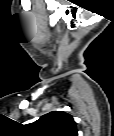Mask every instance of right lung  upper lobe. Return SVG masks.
Wrapping results in <instances>:
<instances>
[{
  "mask_svg": "<svg viewBox=\"0 0 114 136\" xmlns=\"http://www.w3.org/2000/svg\"><path fill=\"white\" fill-rule=\"evenodd\" d=\"M28 129L34 136H77L78 132L72 115L62 111L41 116Z\"/></svg>",
  "mask_w": 114,
  "mask_h": 136,
  "instance_id": "1",
  "label": "right lung upper lobe"
}]
</instances>
